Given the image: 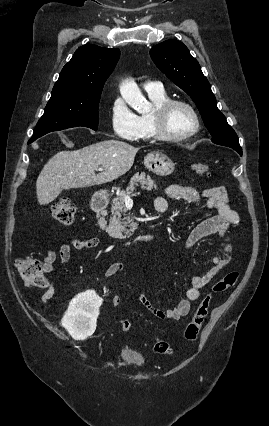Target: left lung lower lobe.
<instances>
[{
  "label": "left lung lower lobe",
  "instance_id": "left-lung-lower-lobe-1",
  "mask_svg": "<svg viewBox=\"0 0 269 426\" xmlns=\"http://www.w3.org/2000/svg\"><path fill=\"white\" fill-rule=\"evenodd\" d=\"M234 150H236L241 156H242V149L240 148H233Z\"/></svg>",
  "mask_w": 269,
  "mask_h": 426
}]
</instances>
